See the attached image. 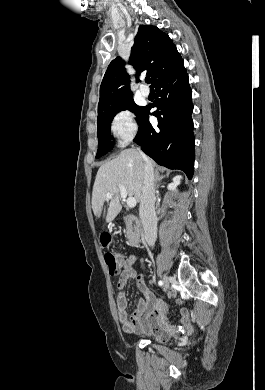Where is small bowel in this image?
Returning <instances> with one entry per match:
<instances>
[{
  "label": "small bowel",
  "mask_w": 265,
  "mask_h": 390,
  "mask_svg": "<svg viewBox=\"0 0 265 390\" xmlns=\"http://www.w3.org/2000/svg\"><path fill=\"white\" fill-rule=\"evenodd\" d=\"M139 262L143 266V260L136 255H130L122 259V273L117 287L116 309L118 319L124 332L128 334L148 332L158 340H165L172 331V326L167 319V309L161 301L144 283L143 275L138 274L134 264ZM130 280L142 293L138 307L131 316L127 314L126 288ZM182 328L186 331L191 329L189 313L180 311Z\"/></svg>",
  "instance_id": "obj_1"
}]
</instances>
